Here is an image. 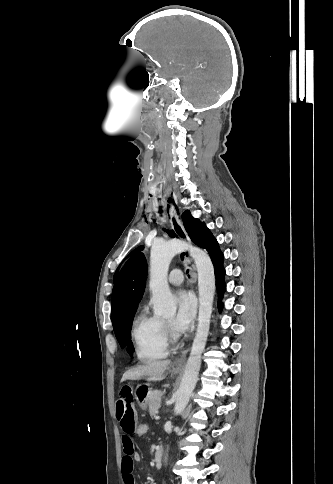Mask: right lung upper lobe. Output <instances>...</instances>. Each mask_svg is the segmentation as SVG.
<instances>
[{
    "instance_id": "cb5924a9",
    "label": "right lung upper lobe",
    "mask_w": 333,
    "mask_h": 484,
    "mask_svg": "<svg viewBox=\"0 0 333 484\" xmlns=\"http://www.w3.org/2000/svg\"><path fill=\"white\" fill-rule=\"evenodd\" d=\"M147 263L143 253L131 257L122 268L112 291V323L114 331L135 313L146 286Z\"/></svg>"
}]
</instances>
